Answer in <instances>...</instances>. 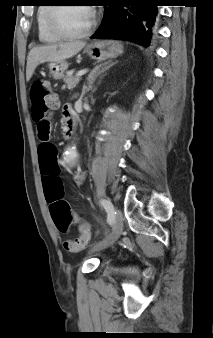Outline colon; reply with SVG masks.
<instances>
[{
    "label": "colon",
    "instance_id": "1",
    "mask_svg": "<svg viewBox=\"0 0 213 338\" xmlns=\"http://www.w3.org/2000/svg\"><path fill=\"white\" fill-rule=\"evenodd\" d=\"M31 112L34 121L37 123V136L43 142H48L51 137L50 123L43 122L48 118L49 114L56 111L58 104L54 97V93L47 80H37L33 83L30 91ZM41 151L49 157L56 151L53 145L44 144ZM60 171V170H59ZM61 202L54 204L51 207V213L54 221L59 227H64L69 222L70 206L60 195ZM80 236L73 240L64 242V248L71 253H77L83 250L91 236L90 225L83 224L80 227Z\"/></svg>",
    "mask_w": 213,
    "mask_h": 338
}]
</instances>
